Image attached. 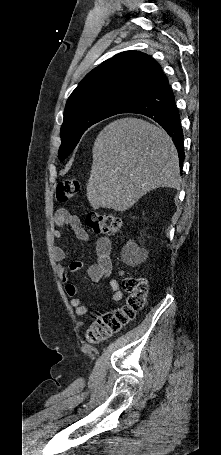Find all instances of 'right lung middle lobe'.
<instances>
[{
    "label": "right lung middle lobe",
    "instance_id": "obj_1",
    "mask_svg": "<svg viewBox=\"0 0 221 455\" xmlns=\"http://www.w3.org/2000/svg\"><path fill=\"white\" fill-rule=\"evenodd\" d=\"M124 108L112 102H98L77 107L64 114L58 157L63 161L75 148L82 134L93 124L120 114Z\"/></svg>",
    "mask_w": 221,
    "mask_h": 455
}]
</instances>
